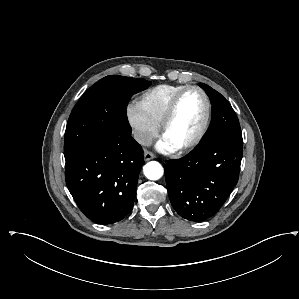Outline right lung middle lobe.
I'll return each mask as SVG.
<instances>
[{
  "mask_svg": "<svg viewBox=\"0 0 299 299\" xmlns=\"http://www.w3.org/2000/svg\"><path fill=\"white\" fill-rule=\"evenodd\" d=\"M150 82L110 75L90 87L80 98L68 119L65 160L94 141L119 133H131L126 108L131 96L146 89Z\"/></svg>",
  "mask_w": 299,
  "mask_h": 299,
  "instance_id": "dd1d6c3e",
  "label": "right lung middle lobe"
}]
</instances>
